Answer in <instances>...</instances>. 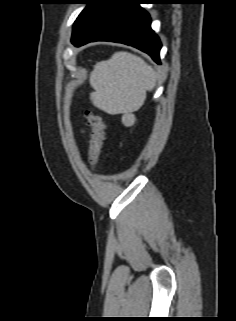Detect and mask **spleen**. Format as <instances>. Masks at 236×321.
<instances>
[{"label": "spleen", "mask_w": 236, "mask_h": 321, "mask_svg": "<svg viewBox=\"0 0 236 321\" xmlns=\"http://www.w3.org/2000/svg\"><path fill=\"white\" fill-rule=\"evenodd\" d=\"M89 81L95 90L90 95L93 104L109 114H119L143 105L146 91L155 87L156 75L140 57L117 52L94 66Z\"/></svg>", "instance_id": "obj_1"}]
</instances>
